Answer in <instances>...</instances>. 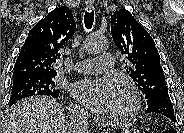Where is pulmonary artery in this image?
<instances>
[{"mask_svg":"<svg viewBox=\"0 0 184 133\" xmlns=\"http://www.w3.org/2000/svg\"><path fill=\"white\" fill-rule=\"evenodd\" d=\"M115 58L111 54H102L99 58L84 59L76 63L75 70L80 73L97 74L111 68Z\"/></svg>","mask_w":184,"mask_h":133,"instance_id":"e3ab8cb5","label":"pulmonary artery"}]
</instances>
